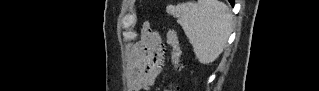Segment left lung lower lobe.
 <instances>
[{"label": "left lung lower lobe", "mask_w": 319, "mask_h": 91, "mask_svg": "<svg viewBox=\"0 0 319 91\" xmlns=\"http://www.w3.org/2000/svg\"><path fill=\"white\" fill-rule=\"evenodd\" d=\"M228 1L231 3L232 6L234 5V0H228Z\"/></svg>", "instance_id": "1"}]
</instances>
